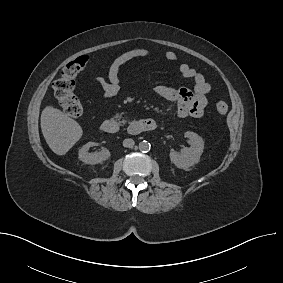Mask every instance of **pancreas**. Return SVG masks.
Instances as JSON below:
<instances>
[{
    "label": "pancreas",
    "mask_w": 283,
    "mask_h": 283,
    "mask_svg": "<svg viewBox=\"0 0 283 283\" xmlns=\"http://www.w3.org/2000/svg\"><path fill=\"white\" fill-rule=\"evenodd\" d=\"M121 117H122V116H121V115H119V114H118V115H116V119H118V120H119ZM126 122H127L126 120H122V121H120V123H121V124H125Z\"/></svg>",
    "instance_id": "cf45deb5"
}]
</instances>
